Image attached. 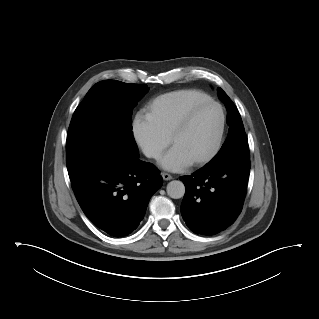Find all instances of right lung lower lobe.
Here are the masks:
<instances>
[{
	"label": "right lung lower lobe",
	"instance_id": "right-lung-lower-lobe-1",
	"mask_svg": "<svg viewBox=\"0 0 319 319\" xmlns=\"http://www.w3.org/2000/svg\"><path fill=\"white\" fill-rule=\"evenodd\" d=\"M130 151H107L70 179L87 218L113 237L134 231L162 186L157 168Z\"/></svg>",
	"mask_w": 319,
	"mask_h": 319
}]
</instances>
